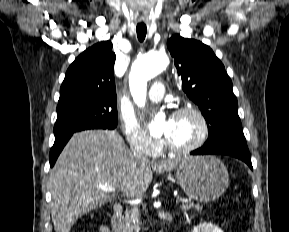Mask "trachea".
I'll use <instances>...</instances> for the list:
<instances>
[{
  "instance_id": "1",
  "label": "trachea",
  "mask_w": 289,
  "mask_h": 232,
  "mask_svg": "<svg viewBox=\"0 0 289 232\" xmlns=\"http://www.w3.org/2000/svg\"><path fill=\"white\" fill-rule=\"evenodd\" d=\"M137 37L140 42L144 41L147 33V27L145 24H138L136 27Z\"/></svg>"
}]
</instances>
